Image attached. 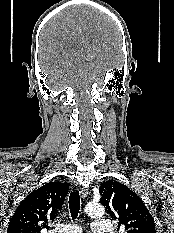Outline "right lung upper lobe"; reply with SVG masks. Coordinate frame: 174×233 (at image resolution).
Wrapping results in <instances>:
<instances>
[{"label":"right lung upper lobe","mask_w":174,"mask_h":233,"mask_svg":"<svg viewBox=\"0 0 174 233\" xmlns=\"http://www.w3.org/2000/svg\"><path fill=\"white\" fill-rule=\"evenodd\" d=\"M70 184L51 182L31 192L11 217L7 233H40L49 229L68 194Z\"/></svg>","instance_id":"obj_1"}]
</instances>
